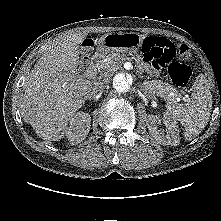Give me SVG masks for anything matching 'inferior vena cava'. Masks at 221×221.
<instances>
[{
	"mask_svg": "<svg viewBox=\"0 0 221 221\" xmlns=\"http://www.w3.org/2000/svg\"><path fill=\"white\" fill-rule=\"evenodd\" d=\"M109 82V74H103L97 81L94 82V85L92 87V94H97L103 92L107 84Z\"/></svg>",
	"mask_w": 221,
	"mask_h": 221,
	"instance_id": "1",
	"label": "inferior vena cava"
}]
</instances>
